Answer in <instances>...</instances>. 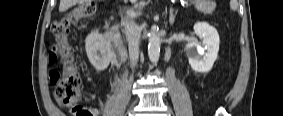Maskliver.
Listing matches in <instances>:
<instances>
[{
    "label": "liver",
    "mask_w": 283,
    "mask_h": 116,
    "mask_svg": "<svg viewBox=\"0 0 283 116\" xmlns=\"http://www.w3.org/2000/svg\"><path fill=\"white\" fill-rule=\"evenodd\" d=\"M78 2L79 0H60L59 11L65 12L70 7L76 5Z\"/></svg>",
    "instance_id": "1"
}]
</instances>
